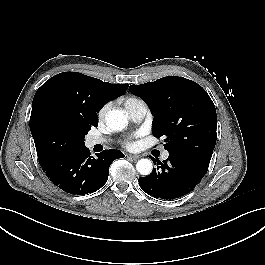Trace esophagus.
<instances>
[{
  "label": "esophagus",
  "mask_w": 265,
  "mask_h": 265,
  "mask_svg": "<svg viewBox=\"0 0 265 265\" xmlns=\"http://www.w3.org/2000/svg\"><path fill=\"white\" fill-rule=\"evenodd\" d=\"M128 158L132 159V160H137L139 159V156L138 155H132V154H129L128 155Z\"/></svg>",
  "instance_id": "1"
}]
</instances>
